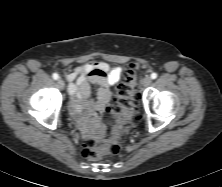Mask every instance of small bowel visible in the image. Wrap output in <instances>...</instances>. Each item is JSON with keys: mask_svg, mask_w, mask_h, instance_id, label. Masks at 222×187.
Returning a JSON list of instances; mask_svg holds the SVG:
<instances>
[{"mask_svg": "<svg viewBox=\"0 0 222 187\" xmlns=\"http://www.w3.org/2000/svg\"><path fill=\"white\" fill-rule=\"evenodd\" d=\"M123 70L106 62L88 63L73 68L67 74L68 92L72 97L71 106L75 118L83 119L85 112L93 116L103 112L111 98V87L121 80ZM96 86V100L91 101V86Z\"/></svg>", "mask_w": 222, "mask_h": 187, "instance_id": "1", "label": "small bowel"}]
</instances>
